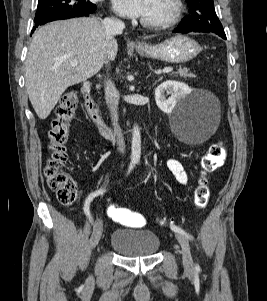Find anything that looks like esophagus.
<instances>
[{"label": "esophagus", "instance_id": "obj_1", "mask_svg": "<svg viewBox=\"0 0 267 301\" xmlns=\"http://www.w3.org/2000/svg\"><path fill=\"white\" fill-rule=\"evenodd\" d=\"M133 44H134L135 46H141V45H142V43L139 42V41H135V42H133Z\"/></svg>", "mask_w": 267, "mask_h": 301}]
</instances>
